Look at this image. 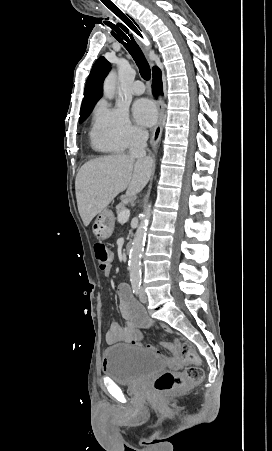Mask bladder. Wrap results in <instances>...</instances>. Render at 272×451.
<instances>
[{
  "label": "bladder",
  "instance_id": "31cf9c89",
  "mask_svg": "<svg viewBox=\"0 0 272 451\" xmlns=\"http://www.w3.org/2000/svg\"><path fill=\"white\" fill-rule=\"evenodd\" d=\"M105 374L117 384H134L162 373L166 366L163 356L146 354L130 345H113L103 352Z\"/></svg>",
  "mask_w": 272,
  "mask_h": 451
}]
</instances>
